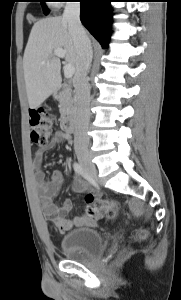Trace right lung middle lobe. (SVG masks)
Instances as JSON below:
<instances>
[{
	"label": "right lung middle lobe",
	"instance_id": "right-lung-middle-lobe-1",
	"mask_svg": "<svg viewBox=\"0 0 181 300\" xmlns=\"http://www.w3.org/2000/svg\"><path fill=\"white\" fill-rule=\"evenodd\" d=\"M41 3V6L43 8L44 14H48L49 10L47 9V6L45 5V0H39Z\"/></svg>",
	"mask_w": 181,
	"mask_h": 300
}]
</instances>
